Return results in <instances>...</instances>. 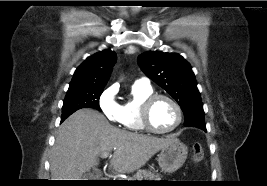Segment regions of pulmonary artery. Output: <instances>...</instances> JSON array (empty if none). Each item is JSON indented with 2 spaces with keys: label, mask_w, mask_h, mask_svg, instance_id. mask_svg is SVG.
I'll return each instance as SVG.
<instances>
[{
  "label": "pulmonary artery",
  "mask_w": 267,
  "mask_h": 186,
  "mask_svg": "<svg viewBox=\"0 0 267 186\" xmlns=\"http://www.w3.org/2000/svg\"><path fill=\"white\" fill-rule=\"evenodd\" d=\"M136 83L143 84V85H149V81L146 78H141V79L137 80Z\"/></svg>",
  "instance_id": "e3ab8cb5"
}]
</instances>
